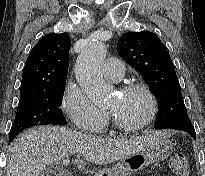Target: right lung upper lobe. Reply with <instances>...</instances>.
<instances>
[{
	"instance_id": "cb5924a9",
	"label": "right lung upper lobe",
	"mask_w": 205,
	"mask_h": 176,
	"mask_svg": "<svg viewBox=\"0 0 205 176\" xmlns=\"http://www.w3.org/2000/svg\"><path fill=\"white\" fill-rule=\"evenodd\" d=\"M71 40L68 34H49L31 50L22 76L21 96L66 82Z\"/></svg>"
}]
</instances>
